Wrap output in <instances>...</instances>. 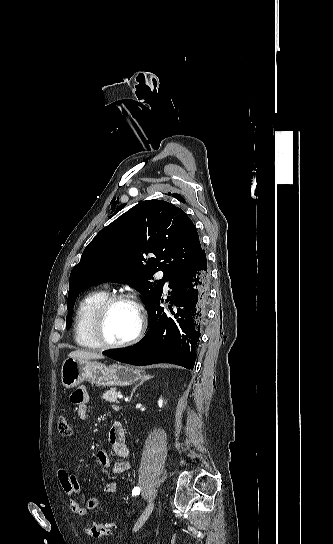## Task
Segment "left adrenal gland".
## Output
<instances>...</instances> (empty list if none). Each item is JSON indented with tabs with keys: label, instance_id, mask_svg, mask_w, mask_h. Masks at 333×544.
Masks as SVG:
<instances>
[{
	"label": "left adrenal gland",
	"instance_id": "left-adrenal-gland-1",
	"mask_svg": "<svg viewBox=\"0 0 333 544\" xmlns=\"http://www.w3.org/2000/svg\"><path fill=\"white\" fill-rule=\"evenodd\" d=\"M150 378H152V376H145V377L139 382V384H137V385L133 388V390H132V392H131V395H130V398H129V401L132 399L133 394H134V392L136 391V389H137L141 384H143L145 381L149 380Z\"/></svg>",
	"mask_w": 333,
	"mask_h": 544
}]
</instances>
